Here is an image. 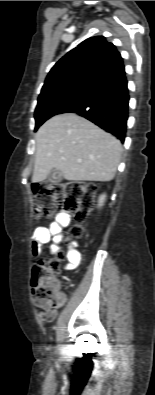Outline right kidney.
Instances as JSON below:
<instances>
[{
	"label": "right kidney",
	"mask_w": 155,
	"mask_h": 395,
	"mask_svg": "<svg viewBox=\"0 0 155 395\" xmlns=\"http://www.w3.org/2000/svg\"><path fill=\"white\" fill-rule=\"evenodd\" d=\"M104 200H105V195L100 196V198H99V206L103 205Z\"/></svg>",
	"instance_id": "ca27d5eb"
}]
</instances>
